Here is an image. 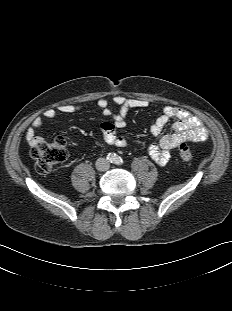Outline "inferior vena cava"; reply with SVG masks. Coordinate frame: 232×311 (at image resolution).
<instances>
[{
  "label": "inferior vena cava",
  "mask_w": 232,
  "mask_h": 311,
  "mask_svg": "<svg viewBox=\"0 0 232 311\" xmlns=\"http://www.w3.org/2000/svg\"><path fill=\"white\" fill-rule=\"evenodd\" d=\"M95 165L98 171H106L110 167L109 161L106 160L105 158H98L96 160Z\"/></svg>",
  "instance_id": "602c4592"
}]
</instances>
